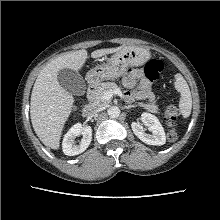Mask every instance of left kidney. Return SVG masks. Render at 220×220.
Instances as JSON below:
<instances>
[{
  "mask_svg": "<svg viewBox=\"0 0 220 220\" xmlns=\"http://www.w3.org/2000/svg\"><path fill=\"white\" fill-rule=\"evenodd\" d=\"M141 120L143 125L148 127V130L152 132V135L146 134L144 127L137 123L132 122L131 128L134 132V134L144 143L148 145H156L161 146L164 145L166 142V136L164 129L157 119L156 116L149 114V113H143L141 115Z\"/></svg>",
  "mask_w": 220,
  "mask_h": 220,
  "instance_id": "left-kidney-1",
  "label": "left kidney"
}]
</instances>
